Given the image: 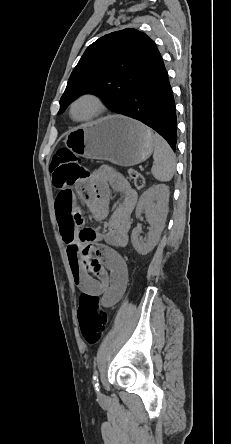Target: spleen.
Masks as SVG:
<instances>
[{"instance_id": "1", "label": "spleen", "mask_w": 231, "mask_h": 444, "mask_svg": "<svg viewBox=\"0 0 231 444\" xmlns=\"http://www.w3.org/2000/svg\"><path fill=\"white\" fill-rule=\"evenodd\" d=\"M154 165L151 172L159 181H169L174 175L176 157L169 144L158 134L154 135Z\"/></svg>"}]
</instances>
